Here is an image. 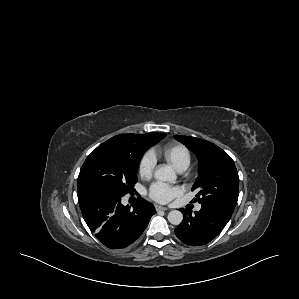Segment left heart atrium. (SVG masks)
I'll return each mask as SVG.
<instances>
[{
	"mask_svg": "<svg viewBox=\"0 0 299 299\" xmlns=\"http://www.w3.org/2000/svg\"><path fill=\"white\" fill-rule=\"evenodd\" d=\"M180 194V189L164 183H154L149 189V196L160 203H167Z\"/></svg>",
	"mask_w": 299,
	"mask_h": 299,
	"instance_id": "obj_1",
	"label": "left heart atrium"
}]
</instances>
